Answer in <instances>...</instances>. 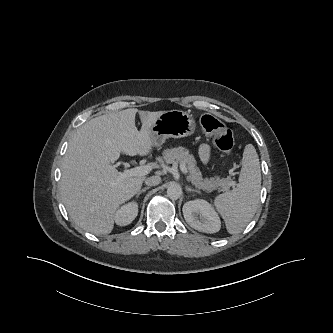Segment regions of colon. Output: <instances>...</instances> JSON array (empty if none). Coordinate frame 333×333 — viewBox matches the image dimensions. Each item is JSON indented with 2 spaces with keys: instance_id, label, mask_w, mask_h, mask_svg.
<instances>
[{
  "instance_id": "1",
  "label": "colon",
  "mask_w": 333,
  "mask_h": 333,
  "mask_svg": "<svg viewBox=\"0 0 333 333\" xmlns=\"http://www.w3.org/2000/svg\"><path fill=\"white\" fill-rule=\"evenodd\" d=\"M200 122L204 131L213 135L216 147L223 153H231L234 147L232 130L225 127L221 121L210 114H204Z\"/></svg>"
}]
</instances>
